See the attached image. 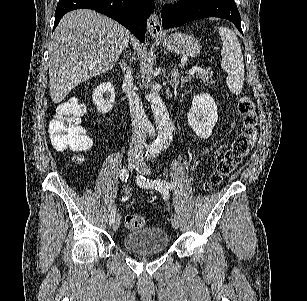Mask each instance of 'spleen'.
<instances>
[{"mask_svg":"<svg viewBox=\"0 0 307 301\" xmlns=\"http://www.w3.org/2000/svg\"><path fill=\"white\" fill-rule=\"evenodd\" d=\"M223 42L221 48V66L227 72L226 84L233 94H240L244 84V60L240 42L228 26H214Z\"/></svg>","mask_w":307,"mask_h":301,"instance_id":"1","label":"spleen"}]
</instances>
